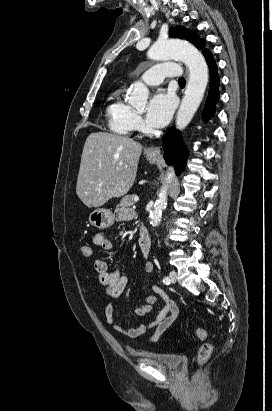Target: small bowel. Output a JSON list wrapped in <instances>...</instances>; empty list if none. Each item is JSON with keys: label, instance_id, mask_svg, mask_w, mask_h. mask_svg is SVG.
Returning <instances> with one entry per match:
<instances>
[{"label": "small bowel", "instance_id": "c3829d8e", "mask_svg": "<svg viewBox=\"0 0 272 411\" xmlns=\"http://www.w3.org/2000/svg\"><path fill=\"white\" fill-rule=\"evenodd\" d=\"M135 213L132 210H123L117 214L118 220H130L134 218ZM94 243L105 251H112L114 249L113 242L107 238L104 233H97L94 236ZM94 268L97 272L99 283L105 289V295L109 298L119 297L128 284V278L122 274L120 268L117 267L114 270H109V266L106 260L97 258L94 261ZM154 269L152 262L147 261L144 264V270L146 273H151ZM153 294H144V303L136 306L134 312L137 316L143 317L151 313L159 299H162L164 306L157 313L156 317L148 324H139L133 328H126L118 324L114 319V309L112 304H107L104 310L105 319L108 325L113 330L121 334L124 337L135 339L148 330L153 329V333L148 338L149 343H154L158 338L169 328L178 317V308L175 301L159 286H152Z\"/></svg>", "mask_w": 272, "mask_h": 411}]
</instances>
